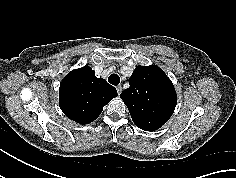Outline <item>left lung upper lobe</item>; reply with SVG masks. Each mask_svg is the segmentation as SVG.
I'll list each match as a JSON object with an SVG mask.
<instances>
[{"mask_svg": "<svg viewBox=\"0 0 236 178\" xmlns=\"http://www.w3.org/2000/svg\"><path fill=\"white\" fill-rule=\"evenodd\" d=\"M130 87L120 97L133 122L142 130L154 131L166 123L176 107V92L166 74L155 65L137 66Z\"/></svg>", "mask_w": 236, "mask_h": 178, "instance_id": "left-lung-upper-lobe-1", "label": "left lung upper lobe"}]
</instances>
